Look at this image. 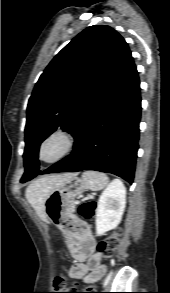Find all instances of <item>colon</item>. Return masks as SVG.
I'll use <instances>...</instances> for the list:
<instances>
[{
  "instance_id": "1",
  "label": "colon",
  "mask_w": 170,
  "mask_h": 293,
  "mask_svg": "<svg viewBox=\"0 0 170 293\" xmlns=\"http://www.w3.org/2000/svg\"><path fill=\"white\" fill-rule=\"evenodd\" d=\"M96 209V203L93 201H85L78 206L79 214L89 219L93 216ZM61 229L70 236H75L83 239L85 233V225L82 222L67 221ZM120 231L115 230L105 241H103L97 248L98 254L103 258L111 256L119 246ZM54 287L57 293H89V292H77L78 287L76 284H68L62 277H56L54 280Z\"/></svg>"
}]
</instances>
